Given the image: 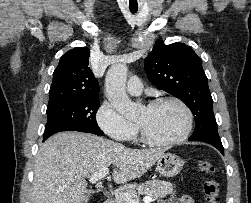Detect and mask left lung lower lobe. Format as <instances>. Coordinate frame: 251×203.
<instances>
[{
	"mask_svg": "<svg viewBox=\"0 0 251 203\" xmlns=\"http://www.w3.org/2000/svg\"><path fill=\"white\" fill-rule=\"evenodd\" d=\"M189 141H203V142H207V143L213 145L215 148H217L224 155V148H223V145H222L221 141H218V140H209V139L195 140V139H191V138H189Z\"/></svg>",
	"mask_w": 251,
	"mask_h": 203,
	"instance_id": "obj_1",
	"label": "left lung lower lobe"
}]
</instances>
